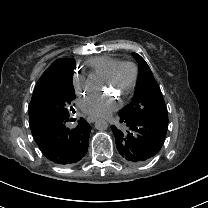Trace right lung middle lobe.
I'll use <instances>...</instances> for the list:
<instances>
[{
	"instance_id": "obj_1",
	"label": "right lung middle lobe",
	"mask_w": 208,
	"mask_h": 208,
	"mask_svg": "<svg viewBox=\"0 0 208 208\" xmlns=\"http://www.w3.org/2000/svg\"><path fill=\"white\" fill-rule=\"evenodd\" d=\"M75 61L52 74L29 105V119H44L53 116L68 117L69 106L75 99L72 77ZM73 109V108H70Z\"/></svg>"
}]
</instances>
